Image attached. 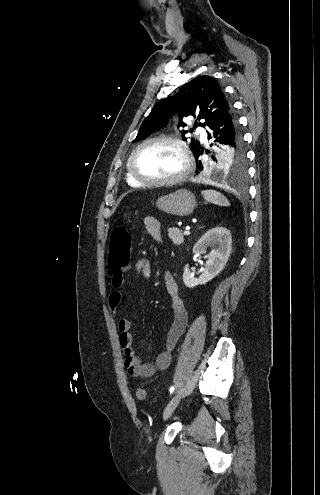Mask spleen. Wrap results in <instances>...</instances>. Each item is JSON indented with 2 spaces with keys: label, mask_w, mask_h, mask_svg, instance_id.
<instances>
[{
  "label": "spleen",
  "mask_w": 320,
  "mask_h": 495,
  "mask_svg": "<svg viewBox=\"0 0 320 495\" xmlns=\"http://www.w3.org/2000/svg\"><path fill=\"white\" fill-rule=\"evenodd\" d=\"M203 197L206 201L213 203L218 206H229L230 203L228 199L222 195L220 192L215 190H204Z\"/></svg>",
  "instance_id": "obj_1"
}]
</instances>
